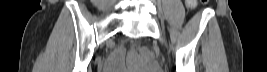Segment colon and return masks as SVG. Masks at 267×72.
I'll list each match as a JSON object with an SVG mask.
<instances>
[{
  "label": "colon",
  "instance_id": "5ec220e1",
  "mask_svg": "<svg viewBox=\"0 0 267 72\" xmlns=\"http://www.w3.org/2000/svg\"><path fill=\"white\" fill-rule=\"evenodd\" d=\"M201 2H202V3H206V2H208V0H201Z\"/></svg>",
  "mask_w": 267,
  "mask_h": 72
}]
</instances>
